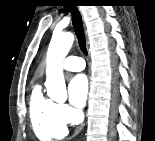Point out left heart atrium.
I'll use <instances>...</instances> for the list:
<instances>
[{"instance_id":"1","label":"left heart atrium","mask_w":155,"mask_h":141,"mask_svg":"<svg viewBox=\"0 0 155 141\" xmlns=\"http://www.w3.org/2000/svg\"><path fill=\"white\" fill-rule=\"evenodd\" d=\"M68 91L70 102L75 107H83L86 103L89 91L87 77L84 74H79L73 77L69 83Z\"/></svg>"}]
</instances>
